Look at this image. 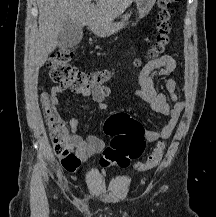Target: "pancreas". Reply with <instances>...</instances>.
<instances>
[{
    "label": "pancreas",
    "mask_w": 216,
    "mask_h": 217,
    "mask_svg": "<svg viewBox=\"0 0 216 217\" xmlns=\"http://www.w3.org/2000/svg\"><path fill=\"white\" fill-rule=\"evenodd\" d=\"M129 16H130V15L127 14V15L123 16V18H124V19H127Z\"/></svg>",
    "instance_id": "pancreas-1"
}]
</instances>
